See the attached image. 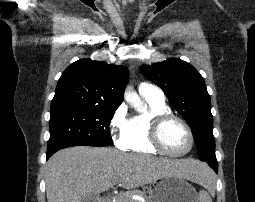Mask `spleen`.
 <instances>
[{"mask_svg":"<svg viewBox=\"0 0 255 202\" xmlns=\"http://www.w3.org/2000/svg\"><path fill=\"white\" fill-rule=\"evenodd\" d=\"M199 184L206 188L199 192L198 200L199 202H212L210 194L215 192L216 182L215 176L208 167L204 168L199 166Z\"/></svg>","mask_w":255,"mask_h":202,"instance_id":"spleen-1","label":"spleen"}]
</instances>
